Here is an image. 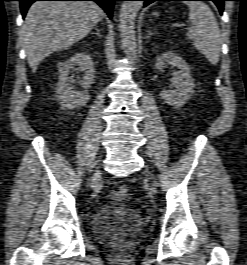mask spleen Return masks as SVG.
Instances as JSON below:
<instances>
[{
    "label": "spleen",
    "mask_w": 247,
    "mask_h": 265,
    "mask_svg": "<svg viewBox=\"0 0 247 265\" xmlns=\"http://www.w3.org/2000/svg\"><path fill=\"white\" fill-rule=\"evenodd\" d=\"M185 3L190 9L191 22L186 35L193 41L194 47L205 55L211 64L216 65L219 62L222 41L215 16L204 2L187 1Z\"/></svg>",
    "instance_id": "1"
}]
</instances>
